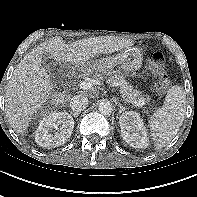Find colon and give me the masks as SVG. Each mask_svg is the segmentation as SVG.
I'll list each match as a JSON object with an SVG mask.
<instances>
[{
	"mask_svg": "<svg viewBox=\"0 0 197 197\" xmlns=\"http://www.w3.org/2000/svg\"><path fill=\"white\" fill-rule=\"evenodd\" d=\"M149 62L155 73L159 75L157 90L160 93L166 92L170 87V80L166 74V60L162 52L151 50L148 55Z\"/></svg>",
	"mask_w": 197,
	"mask_h": 197,
	"instance_id": "1",
	"label": "colon"
}]
</instances>
